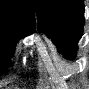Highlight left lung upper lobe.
Segmentation results:
<instances>
[{"label": "left lung upper lobe", "mask_w": 89, "mask_h": 89, "mask_svg": "<svg viewBox=\"0 0 89 89\" xmlns=\"http://www.w3.org/2000/svg\"><path fill=\"white\" fill-rule=\"evenodd\" d=\"M38 30L44 31L58 51L74 59L84 24L83 0H33Z\"/></svg>", "instance_id": "5c2ea615"}]
</instances>
